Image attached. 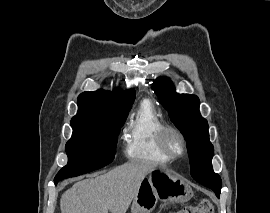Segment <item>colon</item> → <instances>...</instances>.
<instances>
[{
	"label": "colon",
	"instance_id": "obj_1",
	"mask_svg": "<svg viewBox=\"0 0 270 213\" xmlns=\"http://www.w3.org/2000/svg\"><path fill=\"white\" fill-rule=\"evenodd\" d=\"M172 213H214V207L210 201L203 199L197 204L187 205L179 212Z\"/></svg>",
	"mask_w": 270,
	"mask_h": 213
}]
</instances>
